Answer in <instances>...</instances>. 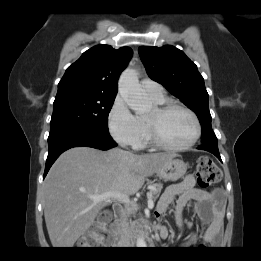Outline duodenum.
I'll list each match as a JSON object with an SVG mask.
<instances>
[{
  "mask_svg": "<svg viewBox=\"0 0 261 261\" xmlns=\"http://www.w3.org/2000/svg\"><path fill=\"white\" fill-rule=\"evenodd\" d=\"M122 229V226L119 223H112L109 228L104 231L105 240L103 241L104 245L117 247L121 237L119 236V232ZM151 230L145 228L143 230V238L148 241L151 237Z\"/></svg>",
  "mask_w": 261,
  "mask_h": 261,
  "instance_id": "duodenum-1",
  "label": "duodenum"
}]
</instances>
